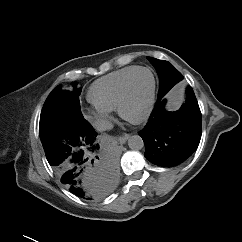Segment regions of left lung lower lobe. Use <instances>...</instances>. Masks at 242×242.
Here are the masks:
<instances>
[{"mask_svg": "<svg viewBox=\"0 0 242 242\" xmlns=\"http://www.w3.org/2000/svg\"><path fill=\"white\" fill-rule=\"evenodd\" d=\"M166 99H157L143 130L145 157L155 165L173 167L183 163L197 149L201 139V111L191 87L177 111L165 109Z\"/></svg>", "mask_w": 242, "mask_h": 242, "instance_id": "1", "label": "left lung lower lobe"}]
</instances>
